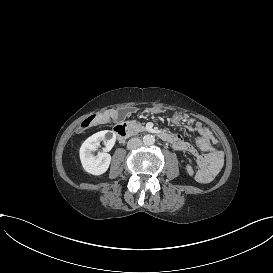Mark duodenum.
Masks as SVG:
<instances>
[{"mask_svg": "<svg viewBox=\"0 0 273 273\" xmlns=\"http://www.w3.org/2000/svg\"><path fill=\"white\" fill-rule=\"evenodd\" d=\"M115 134L120 142L126 140L131 134V129L126 124H119L114 128ZM158 136L165 142H171L172 138L166 133H159Z\"/></svg>", "mask_w": 273, "mask_h": 273, "instance_id": "410a0bca", "label": "duodenum"}]
</instances>
